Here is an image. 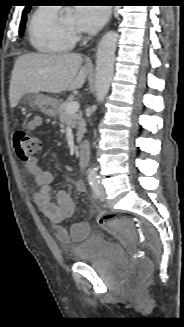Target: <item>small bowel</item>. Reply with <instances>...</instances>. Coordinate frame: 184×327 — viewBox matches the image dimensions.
<instances>
[{
    "label": "small bowel",
    "mask_w": 184,
    "mask_h": 327,
    "mask_svg": "<svg viewBox=\"0 0 184 327\" xmlns=\"http://www.w3.org/2000/svg\"><path fill=\"white\" fill-rule=\"evenodd\" d=\"M42 123L43 118L41 116H34L28 121L27 129L32 132L36 131L41 127ZM26 167L38 187L33 194V201L54 225V233L57 239L63 242L84 239L90 230L89 223L81 221L73 223L69 227L60 225L61 222L74 214L75 203L72 198L65 191H59L56 194L55 201H52L50 193L53 175L49 171L44 170L36 158L26 162ZM76 189L82 192L85 186L82 182H78Z\"/></svg>",
    "instance_id": "obj_1"
}]
</instances>
